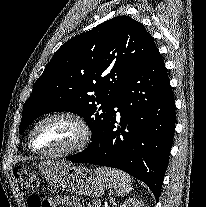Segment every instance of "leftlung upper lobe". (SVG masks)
Masks as SVG:
<instances>
[{"instance_id": "left-lung-upper-lobe-1", "label": "left lung upper lobe", "mask_w": 206, "mask_h": 207, "mask_svg": "<svg viewBox=\"0 0 206 207\" xmlns=\"http://www.w3.org/2000/svg\"><path fill=\"white\" fill-rule=\"evenodd\" d=\"M157 49L143 25L118 16L75 36L54 54L25 102L19 133L37 117L68 111L85 118L94 139L118 91Z\"/></svg>"}]
</instances>
